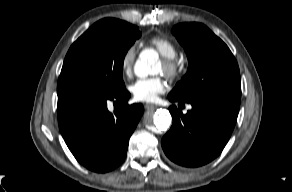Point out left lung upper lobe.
Masks as SVG:
<instances>
[{
    "mask_svg": "<svg viewBox=\"0 0 292 192\" xmlns=\"http://www.w3.org/2000/svg\"><path fill=\"white\" fill-rule=\"evenodd\" d=\"M172 33L186 51L187 74L169 96L187 101L202 96L241 97L240 72L227 45L200 23H182Z\"/></svg>",
    "mask_w": 292,
    "mask_h": 192,
    "instance_id": "obj_1",
    "label": "left lung upper lobe"
}]
</instances>
